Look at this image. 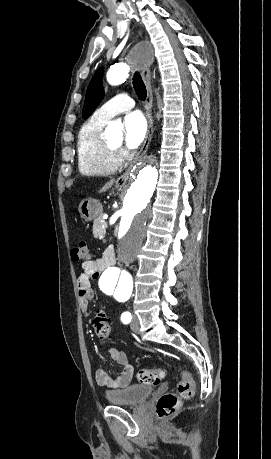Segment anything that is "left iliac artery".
<instances>
[{"label": "left iliac artery", "instance_id": "1", "mask_svg": "<svg viewBox=\"0 0 271 459\" xmlns=\"http://www.w3.org/2000/svg\"><path fill=\"white\" fill-rule=\"evenodd\" d=\"M132 319V316H131V313L130 312H124L122 315H121V321L124 323V324H127L131 321Z\"/></svg>", "mask_w": 271, "mask_h": 459}]
</instances>
